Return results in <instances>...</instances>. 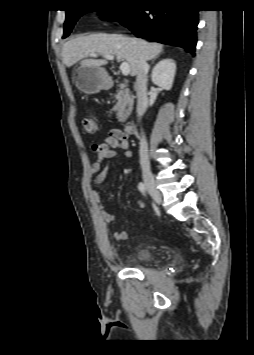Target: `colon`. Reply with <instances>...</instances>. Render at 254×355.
Here are the masks:
<instances>
[{
    "label": "colon",
    "mask_w": 254,
    "mask_h": 355,
    "mask_svg": "<svg viewBox=\"0 0 254 355\" xmlns=\"http://www.w3.org/2000/svg\"><path fill=\"white\" fill-rule=\"evenodd\" d=\"M82 127L84 132L87 134H95L98 129L96 121L90 117L83 118Z\"/></svg>",
    "instance_id": "5ec220e1"
}]
</instances>
